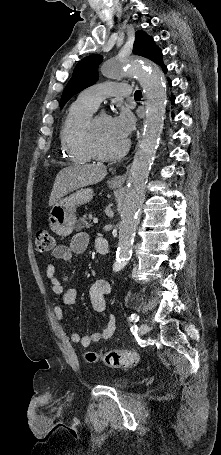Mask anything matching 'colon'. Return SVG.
Listing matches in <instances>:
<instances>
[{
  "instance_id": "1",
  "label": "colon",
  "mask_w": 221,
  "mask_h": 455,
  "mask_svg": "<svg viewBox=\"0 0 221 455\" xmlns=\"http://www.w3.org/2000/svg\"><path fill=\"white\" fill-rule=\"evenodd\" d=\"M36 250L39 253L52 252L54 240L47 230H39L36 234ZM86 360L90 363H102L112 368H131L139 363V355L135 351H108L105 353L88 352Z\"/></svg>"
}]
</instances>
